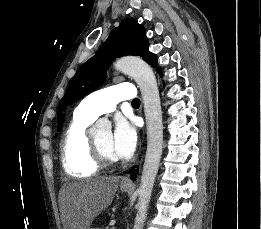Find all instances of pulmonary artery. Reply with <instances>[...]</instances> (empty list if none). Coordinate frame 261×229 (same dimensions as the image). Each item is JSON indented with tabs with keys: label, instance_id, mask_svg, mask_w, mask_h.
Listing matches in <instances>:
<instances>
[{
	"label": "pulmonary artery",
	"instance_id": "pulmonary-artery-1",
	"mask_svg": "<svg viewBox=\"0 0 261 229\" xmlns=\"http://www.w3.org/2000/svg\"><path fill=\"white\" fill-rule=\"evenodd\" d=\"M133 88V85H118L95 91L81 100L79 107L86 117L95 120L102 114L114 111L117 102L134 98Z\"/></svg>",
	"mask_w": 261,
	"mask_h": 229
}]
</instances>
